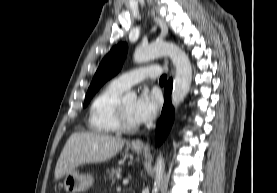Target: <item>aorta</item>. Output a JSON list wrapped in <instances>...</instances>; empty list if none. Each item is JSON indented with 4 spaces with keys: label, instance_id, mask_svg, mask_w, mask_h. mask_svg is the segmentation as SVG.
Masks as SVG:
<instances>
[{
    "label": "aorta",
    "instance_id": "762f6f07",
    "mask_svg": "<svg viewBox=\"0 0 277 193\" xmlns=\"http://www.w3.org/2000/svg\"><path fill=\"white\" fill-rule=\"evenodd\" d=\"M170 56L175 66L176 73L172 90V104L177 107L189 92L192 81V66L186 53L174 43H152L146 47L136 48L133 58L136 63H144L160 56ZM135 92L125 94V100L136 99ZM165 169L164 159L161 155L157 157L155 170V181L153 191L158 192Z\"/></svg>",
    "mask_w": 277,
    "mask_h": 193
}]
</instances>
